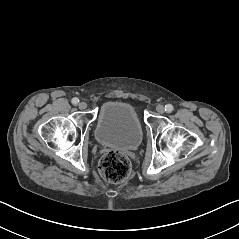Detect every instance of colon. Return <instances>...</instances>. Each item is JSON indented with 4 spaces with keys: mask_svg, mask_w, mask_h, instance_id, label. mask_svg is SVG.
I'll return each instance as SVG.
<instances>
[{
    "mask_svg": "<svg viewBox=\"0 0 239 239\" xmlns=\"http://www.w3.org/2000/svg\"><path fill=\"white\" fill-rule=\"evenodd\" d=\"M100 174L112 183L126 180L131 172V164L127 156L118 152L104 154L99 164Z\"/></svg>",
    "mask_w": 239,
    "mask_h": 239,
    "instance_id": "colon-1",
    "label": "colon"
}]
</instances>
